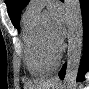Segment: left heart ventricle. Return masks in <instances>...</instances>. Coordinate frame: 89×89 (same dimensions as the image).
<instances>
[{
	"instance_id": "left-heart-ventricle-1",
	"label": "left heart ventricle",
	"mask_w": 89,
	"mask_h": 89,
	"mask_svg": "<svg viewBox=\"0 0 89 89\" xmlns=\"http://www.w3.org/2000/svg\"><path fill=\"white\" fill-rule=\"evenodd\" d=\"M42 34L45 38V40L51 45V46H56L58 45L57 42H55L52 37H51V24L50 23H45L40 26Z\"/></svg>"
}]
</instances>
